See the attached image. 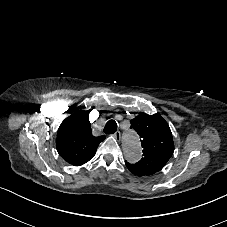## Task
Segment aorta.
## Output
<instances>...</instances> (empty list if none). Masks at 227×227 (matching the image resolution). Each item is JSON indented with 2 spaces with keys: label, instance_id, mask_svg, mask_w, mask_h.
I'll return each mask as SVG.
<instances>
[{
  "label": "aorta",
  "instance_id": "1",
  "mask_svg": "<svg viewBox=\"0 0 227 227\" xmlns=\"http://www.w3.org/2000/svg\"><path fill=\"white\" fill-rule=\"evenodd\" d=\"M124 153L128 161L137 162L141 156V146L138 135L134 131H128L123 136Z\"/></svg>",
  "mask_w": 227,
  "mask_h": 227
}]
</instances>
